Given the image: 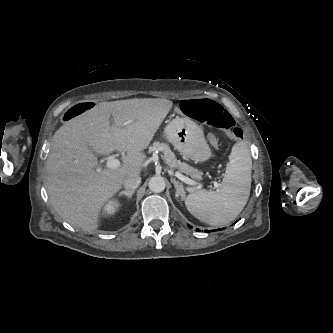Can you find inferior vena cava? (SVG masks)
<instances>
[{
	"label": "inferior vena cava",
	"mask_w": 333,
	"mask_h": 333,
	"mask_svg": "<svg viewBox=\"0 0 333 333\" xmlns=\"http://www.w3.org/2000/svg\"><path fill=\"white\" fill-rule=\"evenodd\" d=\"M140 183L141 177L136 173L127 175L123 180V185L126 190H135Z\"/></svg>",
	"instance_id": "inferior-vena-cava-1"
}]
</instances>
